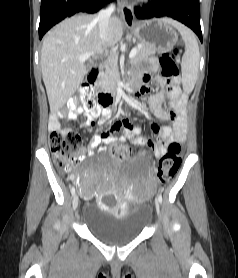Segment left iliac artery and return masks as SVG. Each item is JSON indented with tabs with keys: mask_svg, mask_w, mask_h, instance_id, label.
Instances as JSON below:
<instances>
[{
	"mask_svg": "<svg viewBox=\"0 0 238 278\" xmlns=\"http://www.w3.org/2000/svg\"><path fill=\"white\" fill-rule=\"evenodd\" d=\"M157 200L159 201V203H162V195H161V194H160V195H158Z\"/></svg>",
	"mask_w": 238,
	"mask_h": 278,
	"instance_id": "obj_1",
	"label": "left iliac artery"
}]
</instances>
